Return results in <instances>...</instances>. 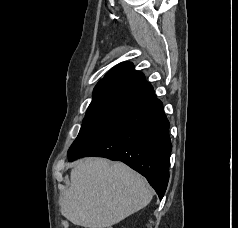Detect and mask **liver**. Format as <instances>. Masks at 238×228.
<instances>
[{"instance_id":"1","label":"liver","mask_w":238,"mask_h":228,"mask_svg":"<svg viewBox=\"0 0 238 228\" xmlns=\"http://www.w3.org/2000/svg\"><path fill=\"white\" fill-rule=\"evenodd\" d=\"M61 200L62 215L85 228H106L146 207L153 197L147 181L121 162L80 160Z\"/></svg>"}]
</instances>
